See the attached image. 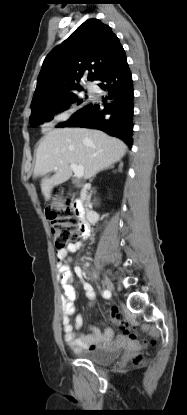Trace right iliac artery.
Returning a JSON list of instances; mask_svg holds the SVG:
<instances>
[{
  "label": "right iliac artery",
  "mask_w": 187,
  "mask_h": 415,
  "mask_svg": "<svg viewBox=\"0 0 187 415\" xmlns=\"http://www.w3.org/2000/svg\"><path fill=\"white\" fill-rule=\"evenodd\" d=\"M102 295L104 298H109L111 296V293L108 290H104Z\"/></svg>",
  "instance_id": "obj_1"
}]
</instances>
